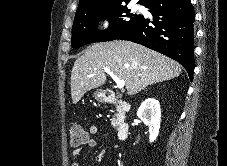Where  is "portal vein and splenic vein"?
<instances>
[{
  "label": "portal vein and splenic vein",
  "mask_w": 227,
  "mask_h": 166,
  "mask_svg": "<svg viewBox=\"0 0 227 166\" xmlns=\"http://www.w3.org/2000/svg\"><path fill=\"white\" fill-rule=\"evenodd\" d=\"M107 74L111 76V78L114 80V82L117 84L118 89H123L125 86V81L123 79L118 78L116 75H114L113 72H111L109 69L104 68L103 69Z\"/></svg>",
  "instance_id": "portal-vein-and-splenic-vein-1"
}]
</instances>
